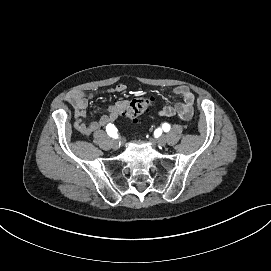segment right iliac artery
<instances>
[{
	"instance_id": "1",
	"label": "right iliac artery",
	"mask_w": 271,
	"mask_h": 271,
	"mask_svg": "<svg viewBox=\"0 0 271 271\" xmlns=\"http://www.w3.org/2000/svg\"><path fill=\"white\" fill-rule=\"evenodd\" d=\"M106 131H107V134L110 136V137H113V138H117L118 135H117V128L114 126V124H111L109 123L107 126H106Z\"/></svg>"
}]
</instances>
